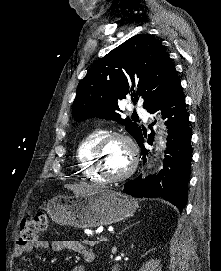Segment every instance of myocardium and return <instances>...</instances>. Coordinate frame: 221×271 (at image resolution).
Returning a JSON list of instances; mask_svg holds the SVG:
<instances>
[{
  "label": "myocardium",
  "mask_w": 221,
  "mask_h": 271,
  "mask_svg": "<svg viewBox=\"0 0 221 271\" xmlns=\"http://www.w3.org/2000/svg\"><path fill=\"white\" fill-rule=\"evenodd\" d=\"M109 137H104L99 141L100 145H96V153L92 156V169L99 175L100 178H130V175H133V171L137 169L136 162L139 154V145H134V140L126 131H111L108 132ZM110 142H121V150H127L125 157L129 161V166L127 170H124V173H118L117 175H108L107 172H103L101 157L105 154L106 145H109Z\"/></svg>",
  "instance_id": "f54148a6"
}]
</instances>
